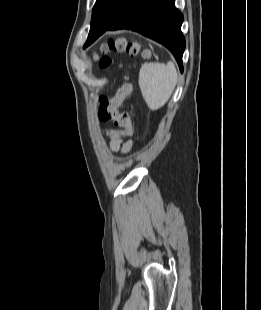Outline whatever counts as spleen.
<instances>
[{
	"instance_id": "spleen-1",
	"label": "spleen",
	"mask_w": 261,
	"mask_h": 310,
	"mask_svg": "<svg viewBox=\"0 0 261 310\" xmlns=\"http://www.w3.org/2000/svg\"><path fill=\"white\" fill-rule=\"evenodd\" d=\"M177 71L173 62L144 63L139 72V87L151 110H158L169 100L177 83Z\"/></svg>"
}]
</instances>
